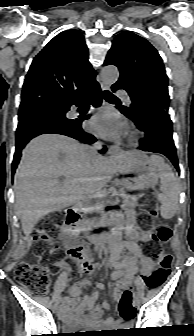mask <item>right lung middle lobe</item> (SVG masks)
Returning a JSON list of instances; mask_svg holds the SVG:
<instances>
[{"label":"right lung middle lobe","instance_id":"right-lung-middle-lobe-1","mask_svg":"<svg viewBox=\"0 0 194 336\" xmlns=\"http://www.w3.org/2000/svg\"><path fill=\"white\" fill-rule=\"evenodd\" d=\"M40 117H55L67 119L59 108H41V109H24L19 110V122Z\"/></svg>","mask_w":194,"mask_h":336}]
</instances>
